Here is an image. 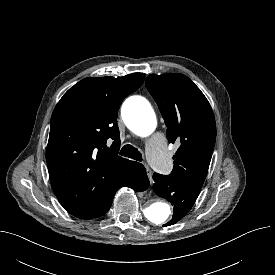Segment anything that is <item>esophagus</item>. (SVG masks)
Wrapping results in <instances>:
<instances>
[{
  "instance_id": "obj_1",
  "label": "esophagus",
  "mask_w": 275,
  "mask_h": 275,
  "mask_svg": "<svg viewBox=\"0 0 275 275\" xmlns=\"http://www.w3.org/2000/svg\"><path fill=\"white\" fill-rule=\"evenodd\" d=\"M146 172L150 181H152V170L145 164Z\"/></svg>"
}]
</instances>
